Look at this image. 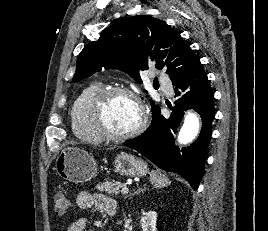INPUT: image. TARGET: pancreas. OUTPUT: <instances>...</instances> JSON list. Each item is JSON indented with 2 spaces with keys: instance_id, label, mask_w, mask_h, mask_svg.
<instances>
[{
  "instance_id": "obj_1",
  "label": "pancreas",
  "mask_w": 268,
  "mask_h": 231,
  "mask_svg": "<svg viewBox=\"0 0 268 231\" xmlns=\"http://www.w3.org/2000/svg\"><path fill=\"white\" fill-rule=\"evenodd\" d=\"M124 186L125 184L120 181L105 180V182L97 184L96 188L99 191L105 192L108 195L117 196L120 192V189Z\"/></svg>"
}]
</instances>
